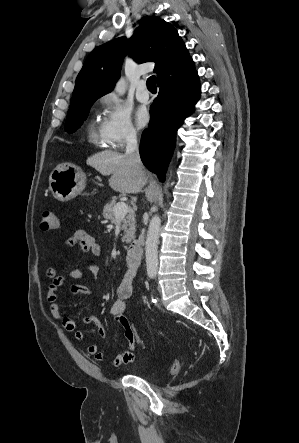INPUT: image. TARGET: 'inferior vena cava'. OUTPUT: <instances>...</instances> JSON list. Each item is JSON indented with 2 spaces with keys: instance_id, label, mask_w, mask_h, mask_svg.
<instances>
[{
  "instance_id": "inferior-vena-cava-1",
  "label": "inferior vena cava",
  "mask_w": 299,
  "mask_h": 443,
  "mask_svg": "<svg viewBox=\"0 0 299 443\" xmlns=\"http://www.w3.org/2000/svg\"><path fill=\"white\" fill-rule=\"evenodd\" d=\"M126 156L130 158L133 164L137 168H142V163L139 156L138 142L136 132L132 129H129L126 132Z\"/></svg>"
}]
</instances>
